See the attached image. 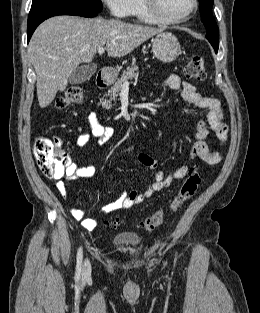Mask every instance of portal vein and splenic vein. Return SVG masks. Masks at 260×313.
<instances>
[{"instance_id": "obj_1", "label": "portal vein and splenic vein", "mask_w": 260, "mask_h": 313, "mask_svg": "<svg viewBox=\"0 0 260 313\" xmlns=\"http://www.w3.org/2000/svg\"><path fill=\"white\" fill-rule=\"evenodd\" d=\"M98 53H99V54H103V53H104V48H103V47H100V48L98 49ZM129 84H130V83H129L128 81H125V82L123 83V88L128 89Z\"/></svg>"}]
</instances>
